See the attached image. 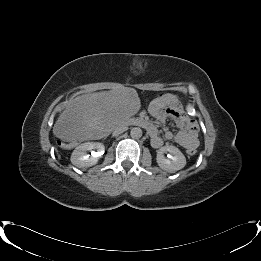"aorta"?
I'll use <instances>...</instances> for the list:
<instances>
[{"mask_svg": "<svg viewBox=\"0 0 261 261\" xmlns=\"http://www.w3.org/2000/svg\"><path fill=\"white\" fill-rule=\"evenodd\" d=\"M130 135L133 139H139L142 136V130L139 127H134L130 131Z\"/></svg>", "mask_w": 261, "mask_h": 261, "instance_id": "aorta-1", "label": "aorta"}]
</instances>
